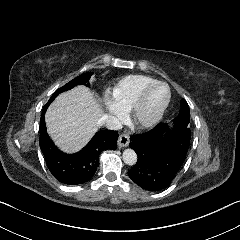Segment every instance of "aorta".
<instances>
[{
	"label": "aorta",
	"instance_id": "aorta-1",
	"mask_svg": "<svg viewBox=\"0 0 240 240\" xmlns=\"http://www.w3.org/2000/svg\"><path fill=\"white\" fill-rule=\"evenodd\" d=\"M123 161L128 165H133L137 161V154L132 148H126L122 152Z\"/></svg>",
	"mask_w": 240,
	"mask_h": 240
}]
</instances>
